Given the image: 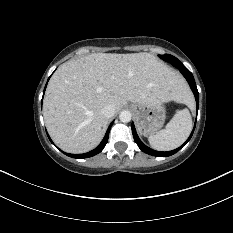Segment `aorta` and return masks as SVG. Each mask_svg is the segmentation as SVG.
I'll use <instances>...</instances> for the list:
<instances>
[{"mask_svg": "<svg viewBox=\"0 0 233 233\" xmlns=\"http://www.w3.org/2000/svg\"><path fill=\"white\" fill-rule=\"evenodd\" d=\"M132 114L128 110H123L119 114V119L123 123H128L131 121Z\"/></svg>", "mask_w": 233, "mask_h": 233, "instance_id": "1", "label": "aorta"}]
</instances>
